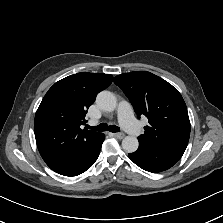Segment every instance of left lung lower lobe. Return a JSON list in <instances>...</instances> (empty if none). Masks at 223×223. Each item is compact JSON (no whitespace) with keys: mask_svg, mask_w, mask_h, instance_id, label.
Returning a JSON list of instances; mask_svg holds the SVG:
<instances>
[{"mask_svg":"<svg viewBox=\"0 0 223 223\" xmlns=\"http://www.w3.org/2000/svg\"><path fill=\"white\" fill-rule=\"evenodd\" d=\"M129 158L142 169L149 172H161L172 167L179 158L165 155L147 148L140 147L130 153Z\"/></svg>","mask_w":223,"mask_h":223,"instance_id":"1","label":"left lung lower lobe"}]
</instances>
